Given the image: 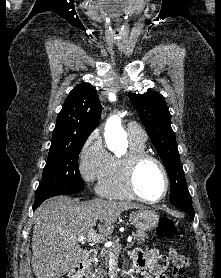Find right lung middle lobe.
Listing matches in <instances>:
<instances>
[{
  "label": "right lung middle lobe",
  "mask_w": 221,
  "mask_h": 278,
  "mask_svg": "<svg viewBox=\"0 0 221 278\" xmlns=\"http://www.w3.org/2000/svg\"><path fill=\"white\" fill-rule=\"evenodd\" d=\"M85 141L50 147L42 180L36 190L35 202L47 199L54 191L60 189L83 190L78 158Z\"/></svg>",
  "instance_id": "obj_1"
}]
</instances>
